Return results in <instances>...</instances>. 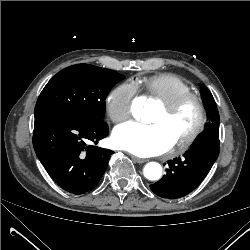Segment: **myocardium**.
<instances>
[{
    "label": "myocardium",
    "mask_w": 250,
    "mask_h": 250,
    "mask_svg": "<svg viewBox=\"0 0 250 250\" xmlns=\"http://www.w3.org/2000/svg\"><path fill=\"white\" fill-rule=\"evenodd\" d=\"M192 102L197 109V121L193 128L183 137L179 138L174 144L180 149L191 145L203 131L207 121V111L202 97L193 92L187 91L179 94L168 102H161L166 116H171L185 104Z\"/></svg>",
    "instance_id": "1"
}]
</instances>
